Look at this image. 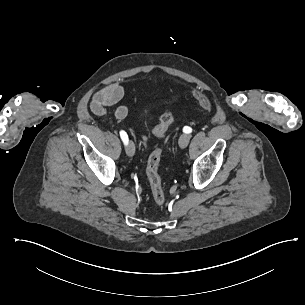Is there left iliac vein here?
<instances>
[{
  "mask_svg": "<svg viewBox=\"0 0 305 305\" xmlns=\"http://www.w3.org/2000/svg\"><path fill=\"white\" fill-rule=\"evenodd\" d=\"M190 141V137L187 134H182L179 138V145L181 148H185L188 146Z\"/></svg>",
  "mask_w": 305,
  "mask_h": 305,
  "instance_id": "left-iliac-vein-1",
  "label": "left iliac vein"
}]
</instances>
